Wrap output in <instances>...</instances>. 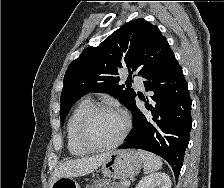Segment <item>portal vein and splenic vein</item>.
Instances as JSON below:
<instances>
[{
    "label": "portal vein and splenic vein",
    "instance_id": "portal-vein-and-splenic-vein-1",
    "mask_svg": "<svg viewBox=\"0 0 224 188\" xmlns=\"http://www.w3.org/2000/svg\"><path fill=\"white\" fill-rule=\"evenodd\" d=\"M124 186L129 187L130 186V182L129 181H124L123 182Z\"/></svg>",
    "mask_w": 224,
    "mask_h": 188
}]
</instances>
